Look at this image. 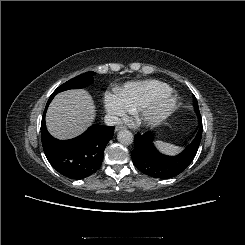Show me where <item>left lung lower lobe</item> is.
<instances>
[{
    "label": "left lung lower lobe",
    "mask_w": 245,
    "mask_h": 245,
    "mask_svg": "<svg viewBox=\"0 0 245 245\" xmlns=\"http://www.w3.org/2000/svg\"><path fill=\"white\" fill-rule=\"evenodd\" d=\"M202 137V126H200L195 139L182 153L177 156H166L161 154L154 146L149 132L134 137L135 147L131 152L134 165L144 174L167 179L174 177L189 166L195 157Z\"/></svg>",
    "instance_id": "1"
}]
</instances>
